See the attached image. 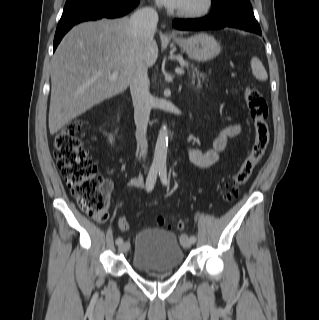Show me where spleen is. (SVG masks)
Instances as JSON below:
<instances>
[{
	"instance_id": "3e777b00",
	"label": "spleen",
	"mask_w": 319,
	"mask_h": 320,
	"mask_svg": "<svg viewBox=\"0 0 319 320\" xmlns=\"http://www.w3.org/2000/svg\"><path fill=\"white\" fill-rule=\"evenodd\" d=\"M251 69H252V73L256 77V79H258L260 81L267 80V78H268L267 72H266L262 62L257 57L252 58Z\"/></svg>"
}]
</instances>
